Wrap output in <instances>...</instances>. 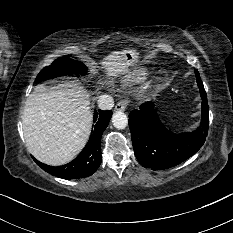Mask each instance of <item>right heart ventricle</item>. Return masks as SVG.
<instances>
[{
  "mask_svg": "<svg viewBox=\"0 0 233 233\" xmlns=\"http://www.w3.org/2000/svg\"><path fill=\"white\" fill-rule=\"evenodd\" d=\"M147 74H148V72L144 68L135 69L132 72H130L129 79L131 82L139 83V82H142L143 80H145V78L147 77Z\"/></svg>",
  "mask_w": 233,
  "mask_h": 233,
  "instance_id": "e07e8e85",
  "label": "right heart ventricle"
}]
</instances>
